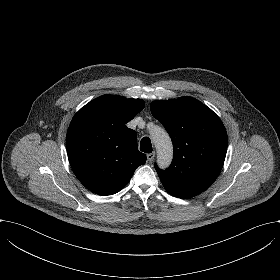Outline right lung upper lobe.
I'll list each match as a JSON object with an SVG mask.
<instances>
[{
	"mask_svg": "<svg viewBox=\"0 0 280 280\" xmlns=\"http://www.w3.org/2000/svg\"><path fill=\"white\" fill-rule=\"evenodd\" d=\"M144 108L141 99L103 95L82 107L66 136L68 159L78 180L91 192H119L146 155L138 151L137 134L125 124Z\"/></svg>",
	"mask_w": 280,
	"mask_h": 280,
	"instance_id": "1",
	"label": "right lung upper lobe"
}]
</instances>
